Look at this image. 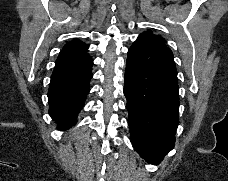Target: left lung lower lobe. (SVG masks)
Wrapping results in <instances>:
<instances>
[{
  "label": "left lung lower lobe",
  "instance_id": "0a47b994",
  "mask_svg": "<svg viewBox=\"0 0 228 181\" xmlns=\"http://www.w3.org/2000/svg\"><path fill=\"white\" fill-rule=\"evenodd\" d=\"M124 94L132 143L148 163L159 164L174 148L179 86L171 50L138 37L128 51Z\"/></svg>",
  "mask_w": 228,
  "mask_h": 181
}]
</instances>
